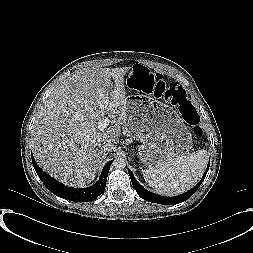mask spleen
Listing matches in <instances>:
<instances>
[{"mask_svg": "<svg viewBox=\"0 0 253 253\" xmlns=\"http://www.w3.org/2000/svg\"><path fill=\"white\" fill-rule=\"evenodd\" d=\"M207 162V151L198 150L149 166L143 170V177L157 193L173 196L193 187L202 177Z\"/></svg>", "mask_w": 253, "mask_h": 253, "instance_id": "spleen-1", "label": "spleen"}]
</instances>
